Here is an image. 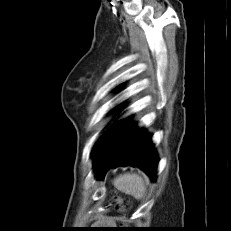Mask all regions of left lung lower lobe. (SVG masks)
<instances>
[{"instance_id":"left-lung-lower-lobe-1","label":"left lung lower lobe","mask_w":231,"mask_h":231,"mask_svg":"<svg viewBox=\"0 0 231 231\" xmlns=\"http://www.w3.org/2000/svg\"><path fill=\"white\" fill-rule=\"evenodd\" d=\"M128 120L113 124L96 142L92 155L97 177L102 178L112 167L131 165L155 179L159 159L151 135Z\"/></svg>"}]
</instances>
